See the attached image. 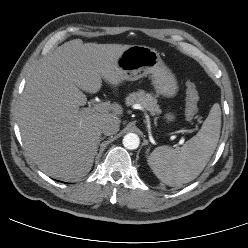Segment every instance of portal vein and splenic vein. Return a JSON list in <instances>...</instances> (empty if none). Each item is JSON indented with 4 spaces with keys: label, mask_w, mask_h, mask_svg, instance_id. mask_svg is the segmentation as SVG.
<instances>
[{
    "label": "portal vein and splenic vein",
    "mask_w": 248,
    "mask_h": 248,
    "mask_svg": "<svg viewBox=\"0 0 248 248\" xmlns=\"http://www.w3.org/2000/svg\"><path fill=\"white\" fill-rule=\"evenodd\" d=\"M112 109V105L110 103L107 102H102V103H97L94 107L92 111H97L100 113H105L108 112Z\"/></svg>",
    "instance_id": "1"
}]
</instances>
